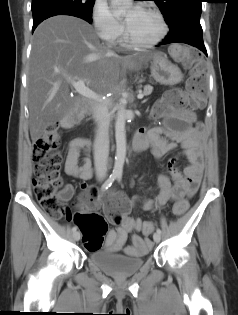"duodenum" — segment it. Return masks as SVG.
I'll return each mask as SVG.
<instances>
[{
	"instance_id": "410a0bca",
	"label": "duodenum",
	"mask_w": 238,
	"mask_h": 315,
	"mask_svg": "<svg viewBox=\"0 0 238 315\" xmlns=\"http://www.w3.org/2000/svg\"><path fill=\"white\" fill-rule=\"evenodd\" d=\"M132 148L135 152H139V148H138V144L137 142L133 139V142H132Z\"/></svg>"
}]
</instances>
